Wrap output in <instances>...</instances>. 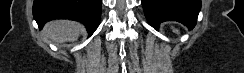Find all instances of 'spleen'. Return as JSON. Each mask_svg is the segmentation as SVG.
Here are the masks:
<instances>
[{
    "instance_id": "1",
    "label": "spleen",
    "mask_w": 244,
    "mask_h": 73,
    "mask_svg": "<svg viewBox=\"0 0 244 73\" xmlns=\"http://www.w3.org/2000/svg\"><path fill=\"white\" fill-rule=\"evenodd\" d=\"M174 32L178 33V29H173Z\"/></svg>"
}]
</instances>
